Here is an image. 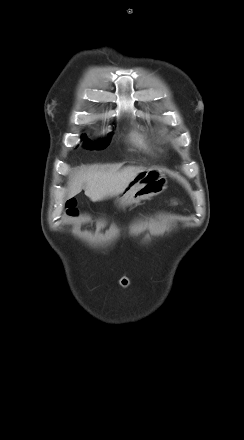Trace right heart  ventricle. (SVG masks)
I'll return each instance as SVG.
<instances>
[{
    "instance_id": "right-heart-ventricle-1",
    "label": "right heart ventricle",
    "mask_w": 244,
    "mask_h": 440,
    "mask_svg": "<svg viewBox=\"0 0 244 440\" xmlns=\"http://www.w3.org/2000/svg\"><path fill=\"white\" fill-rule=\"evenodd\" d=\"M130 139L137 147L142 149H149L154 145V142L146 134L139 131H133Z\"/></svg>"
}]
</instances>
